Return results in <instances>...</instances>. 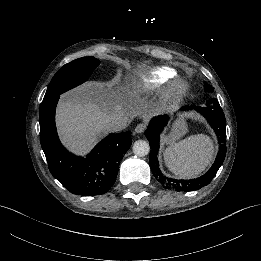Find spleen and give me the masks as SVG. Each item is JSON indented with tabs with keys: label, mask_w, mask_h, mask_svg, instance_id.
<instances>
[{
	"label": "spleen",
	"mask_w": 261,
	"mask_h": 261,
	"mask_svg": "<svg viewBox=\"0 0 261 261\" xmlns=\"http://www.w3.org/2000/svg\"><path fill=\"white\" fill-rule=\"evenodd\" d=\"M163 155L165 165L177 177L194 178L211 163L214 155L213 141L203 134L192 135L168 147Z\"/></svg>",
	"instance_id": "1"
}]
</instances>
